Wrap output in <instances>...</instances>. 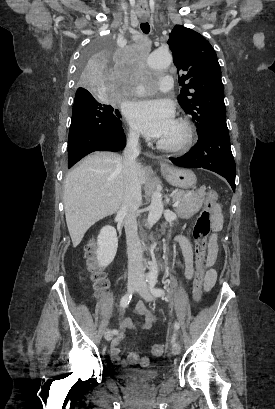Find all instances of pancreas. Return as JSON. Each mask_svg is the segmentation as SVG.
<instances>
[{
  "label": "pancreas",
  "instance_id": "1",
  "mask_svg": "<svg viewBox=\"0 0 275 409\" xmlns=\"http://www.w3.org/2000/svg\"><path fill=\"white\" fill-rule=\"evenodd\" d=\"M205 190L206 188H200V190H196V192H190V190H175L172 198L174 202L179 200L178 207H175L178 217L190 219L192 215L198 213L204 202Z\"/></svg>",
  "mask_w": 275,
  "mask_h": 409
}]
</instances>
